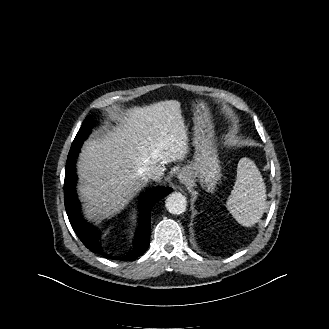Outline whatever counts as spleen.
Listing matches in <instances>:
<instances>
[{"instance_id":"3e777b00","label":"spleen","mask_w":329,"mask_h":329,"mask_svg":"<svg viewBox=\"0 0 329 329\" xmlns=\"http://www.w3.org/2000/svg\"><path fill=\"white\" fill-rule=\"evenodd\" d=\"M226 208L246 227L258 222L266 209V187L260 171L249 158H241L238 162L236 181Z\"/></svg>"}]
</instances>
